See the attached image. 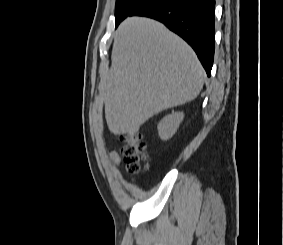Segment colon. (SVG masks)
<instances>
[{
  "mask_svg": "<svg viewBox=\"0 0 283 245\" xmlns=\"http://www.w3.org/2000/svg\"><path fill=\"white\" fill-rule=\"evenodd\" d=\"M124 146L121 150L127 170L132 175L139 174L145 168L146 144L140 133H129L122 137Z\"/></svg>",
  "mask_w": 283,
  "mask_h": 245,
  "instance_id": "5ec220e1",
  "label": "colon"
}]
</instances>
